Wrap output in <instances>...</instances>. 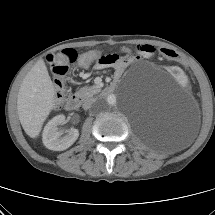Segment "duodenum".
I'll use <instances>...</instances> for the list:
<instances>
[{"mask_svg":"<svg viewBox=\"0 0 215 215\" xmlns=\"http://www.w3.org/2000/svg\"><path fill=\"white\" fill-rule=\"evenodd\" d=\"M116 83H112L110 84L106 89L105 92L106 93H111L114 88H115ZM82 97L79 95H72L70 96L67 101H66V109L69 111H76L80 108L81 104H82Z\"/></svg>","mask_w":215,"mask_h":215,"instance_id":"duodenum-1","label":"duodenum"}]
</instances>
